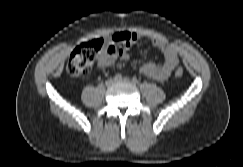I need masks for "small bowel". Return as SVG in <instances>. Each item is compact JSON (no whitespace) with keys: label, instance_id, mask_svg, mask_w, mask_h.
Instances as JSON below:
<instances>
[{"label":"small bowel","instance_id":"obj_1","mask_svg":"<svg viewBox=\"0 0 243 167\" xmlns=\"http://www.w3.org/2000/svg\"><path fill=\"white\" fill-rule=\"evenodd\" d=\"M139 40V36L131 31H117L104 42V47L97 57L100 69L110 67L116 60L126 61L130 57L131 47ZM153 45L164 57L162 64L147 62L141 67V73L157 81H165L178 65L176 50L167 42L153 39Z\"/></svg>","mask_w":243,"mask_h":167}]
</instances>
